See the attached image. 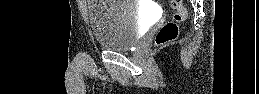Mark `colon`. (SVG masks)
<instances>
[{
	"instance_id": "5ec220e1",
	"label": "colon",
	"mask_w": 259,
	"mask_h": 94,
	"mask_svg": "<svg viewBox=\"0 0 259 94\" xmlns=\"http://www.w3.org/2000/svg\"><path fill=\"white\" fill-rule=\"evenodd\" d=\"M170 5L174 10L173 20L166 23L156 35V43L158 45L167 44L178 35V22L186 18V9L182 0H170Z\"/></svg>"
}]
</instances>
